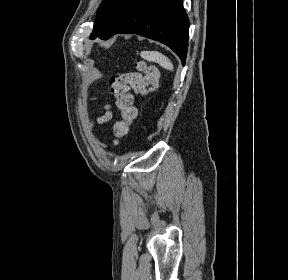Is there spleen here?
<instances>
[{"label": "spleen", "instance_id": "obj_1", "mask_svg": "<svg viewBox=\"0 0 288 280\" xmlns=\"http://www.w3.org/2000/svg\"><path fill=\"white\" fill-rule=\"evenodd\" d=\"M141 57L147 61L158 63L167 70L173 71L174 69L170 59L158 51H142Z\"/></svg>", "mask_w": 288, "mask_h": 280}]
</instances>
